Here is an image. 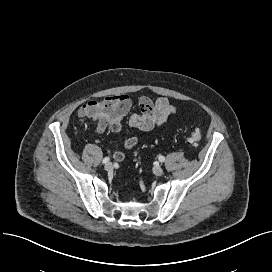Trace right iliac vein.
<instances>
[{"instance_id":"obj_1","label":"right iliac vein","mask_w":272,"mask_h":272,"mask_svg":"<svg viewBox=\"0 0 272 272\" xmlns=\"http://www.w3.org/2000/svg\"><path fill=\"white\" fill-rule=\"evenodd\" d=\"M104 169L106 171H111L113 169V164L110 163V162L106 163L105 166H104Z\"/></svg>"}]
</instances>
